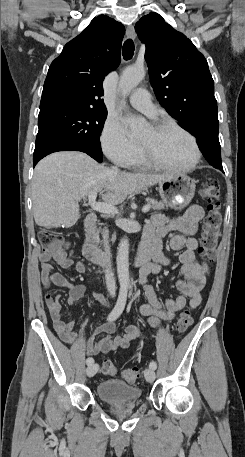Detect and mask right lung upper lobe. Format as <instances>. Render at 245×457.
Masks as SVG:
<instances>
[{
	"mask_svg": "<svg viewBox=\"0 0 245 457\" xmlns=\"http://www.w3.org/2000/svg\"><path fill=\"white\" fill-rule=\"evenodd\" d=\"M124 33L120 22L99 15L68 42L49 67L40 112L68 105L106 109L102 83L120 63Z\"/></svg>",
	"mask_w": 245,
	"mask_h": 457,
	"instance_id": "1",
	"label": "right lung upper lobe"
}]
</instances>
